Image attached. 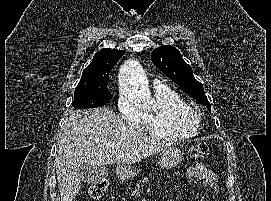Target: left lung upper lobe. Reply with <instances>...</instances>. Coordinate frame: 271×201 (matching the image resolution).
<instances>
[{"label":"left lung upper lobe","instance_id":"left-lung-upper-lobe-1","mask_svg":"<svg viewBox=\"0 0 271 201\" xmlns=\"http://www.w3.org/2000/svg\"><path fill=\"white\" fill-rule=\"evenodd\" d=\"M153 64L172 79L187 94L211 111L203 85L193 76L192 68L183 60L181 53L173 46H161L151 53Z\"/></svg>","mask_w":271,"mask_h":201}]
</instances>
